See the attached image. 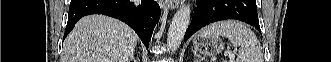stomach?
I'll use <instances>...</instances> for the list:
<instances>
[{
    "mask_svg": "<svg viewBox=\"0 0 331 62\" xmlns=\"http://www.w3.org/2000/svg\"><path fill=\"white\" fill-rule=\"evenodd\" d=\"M193 45L196 51L204 55H217L224 49V44L219 36H206L198 34L193 39Z\"/></svg>",
    "mask_w": 331,
    "mask_h": 62,
    "instance_id": "obj_1",
    "label": "stomach"
}]
</instances>
